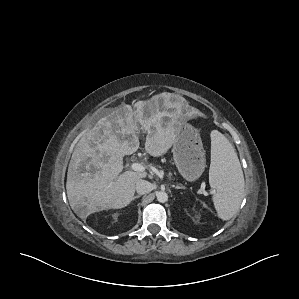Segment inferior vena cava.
I'll return each mask as SVG.
<instances>
[{"instance_id": "inferior-vena-cava-1", "label": "inferior vena cava", "mask_w": 299, "mask_h": 299, "mask_svg": "<svg viewBox=\"0 0 299 299\" xmlns=\"http://www.w3.org/2000/svg\"><path fill=\"white\" fill-rule=\"evenodd\" d=\"M154 189L153 184L144 179H140L136 182V191L138 194L143 195L151 192Z\"/></svg>"}]
</instances>
